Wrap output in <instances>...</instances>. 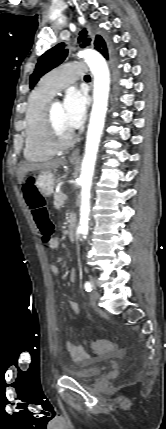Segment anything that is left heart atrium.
<instances>
[{"mask_svg":"<svg viewBox=\"0 0 166 429\" xmlns=\"http://www.w3.org/2000/svg\"><path fill=\"white\" fill-rule=\"evenodd\" d=\"M66 125L74 130L81 126L86 116V96L79 90H69L62 104Z\"/></svg>","mask_w":166,"mask_h":429,"instance_id":"obj_1","label":"left heart atrium"}]
</instances>
